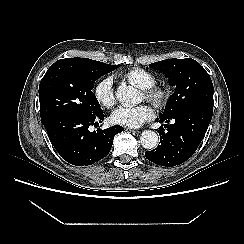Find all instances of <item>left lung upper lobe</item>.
I'll return each instance as SVG.
<instances>
[{"label":"left lung upper lobe","mask_w":244,"mask_h":244,"mask_svg":"<svg viewBox=\"0 0 244 244\" xmlns=\"http://www.w3.org/2000/svg\"><path fill=\"white\" fill-rule=\"evenodd\" d=\"M149 66L163 72L175 86L162 116H170L192 105L213 107L214 88L211 78L197 61L191 58H172Z\"/></svg>","instance_id":"obj_1"}]
</instances>
